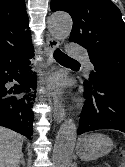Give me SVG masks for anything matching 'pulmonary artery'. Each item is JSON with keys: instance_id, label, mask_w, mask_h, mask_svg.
<instances>
[{"instance_id": "1", "label": "pulmonary artery", "mask_w": 125, "mask_h": 167, "mask_svg": "<svg viewBox=\"0 0 125 167\" xmlns=\"http://www.w3.org/2000/svg\"><path fill=\"white\" fill-rule=\"evenodd\" d=\"M67 52H68V55L72 58L84 60L89 69L93 68V65L87 58L86 52L82 50L81 48L76 47L74 43L72 42L68 43Z\"/></svg>"}]
</instances>
